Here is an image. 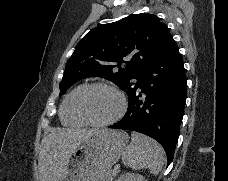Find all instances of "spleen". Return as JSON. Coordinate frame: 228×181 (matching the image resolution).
Wrapping results in <instances>:
<instances>
[{
  "label": "spleen",
  "mask_w": 228,
  "mask_h": 181,
  "mask_svg": "<svg viewBox=\"0 0 228 181\" xmlns=\"http://www.w3.org/2000/svg\"><path fill=\"white\" fill-rule=\"evenodd\" d=\"M122 163L134 171L149 169L152 175H158L164 165V151L161 145L150 137L132 133L131 145L123 151Z\"/></svg>",
  "instance_id": "3e777b00"
}]
</instances>
